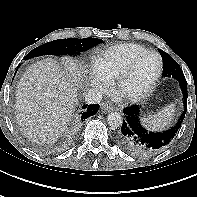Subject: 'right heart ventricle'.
<instances>
[{
    "instance_id": "right-heart-ventricle-1",
    "label": "right heart ventricle",
    "mask_w": 197,
    "mask_h": 197,
    "mask_svg": "<svg viewBox=\"0 0 197 197\" xmlns=\"http://www.w3.org/2000/svg\"><path fill=\"white\" fill-rule=\"evenodd\" d=\"M148 50L139 44L124 43L97 52L92 57L96 72L110 80H115L136 56Z\"/></svg>"
}]
</instances>
